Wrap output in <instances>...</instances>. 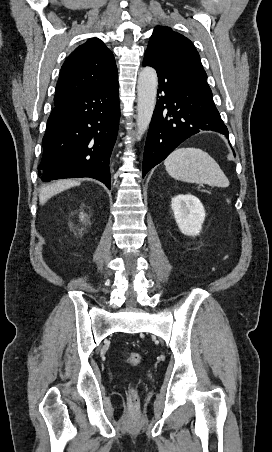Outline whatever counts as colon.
<instances>
[{"label": "colon", "instance_id": "obj_1", "mask_svg": "<svg viewBox=\"0 0 272 452\" xmlns=\"http://www.w3.org/2000/svg\"><path fill=\"white\" fill-rule=\"evenodd\" d=\"M142 361V355L139 352H131L126 357L127 364L131 366H136L140 364ZM129 402L132 407H135L138 404L139 398L138 393L135 388H130L128 391Z\"/></svg>", "mask_w": 272, "mask_h": 452}]
</instances>
